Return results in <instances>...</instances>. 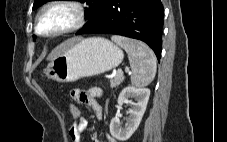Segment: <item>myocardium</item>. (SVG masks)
Masks as SVG:
<instances>
[{
    "mask_svg": "<svg viewBox=\"0 0 227 142\" xmlns=\"http://www.w3.org/2000/svg\"><path fill=\"white\" fill-rule=\"evenodd\" d=\"M55 7H67L72 9L75 14V20L69 27L65 29L51 32V33H42L39 30V26L43 15L46 11ZM86 17H87L86 8L84 4L78 0H51L46 4H44L38 11L35 19L34 30H35V33L41 37H46V38L59 37L80 29L84 25L86 21Z\"/></svg>",
    "mask_w": 227,
    "mask_h": 142,
    "instance_id": "obj_1",
    "label": "myocardium"
}]
</instances>
